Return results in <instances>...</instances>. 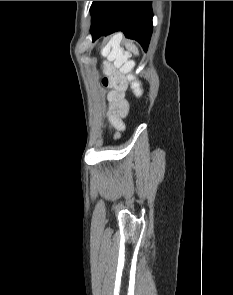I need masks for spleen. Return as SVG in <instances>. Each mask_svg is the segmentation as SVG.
Masks as SVG:
<instances>
[{
	"label": "spleen",
	"mask_w": 233,
	"mask_h": 295,
	"mask_svg": "<svg viewBox=\"0 0 233 295\" xmlns=\"http://www.w3.org/2000/svg\"><path fill=\"white\" fill-rule=\"evenodd\" d=\"M122 40L121 35H115L110 42L103 48L102 55L107 56L108 60L114 61L115 66H121L126 62L129 54L124 53L120 47ZM126 48L135 55L139 54L138 48L133 43H128Z\"/></svg>",
	"instance_id": "obj_1"
}]
</instances>
